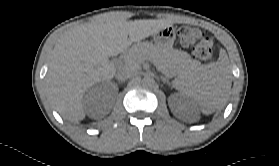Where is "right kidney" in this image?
I'll return each mask as SVG.
<instances>
[{
    "label": "right kidney",
    "instance_id": "right-kidney-1",
    "mask_svg": "<svg viewBox=\"0 0 279 166\" xmlns=\"http://www.w3.org/2000/svg\"><path fill=\"white\" fill-rule=\"evenodd\" d=\"M118 93V87L112 88L108 84H101L89 89L85 95L84 102L90 106H96L101 96H112Z\"/></svg>",
    "mask_w": 279,
    "mask_h": 166
}]
</instances>
